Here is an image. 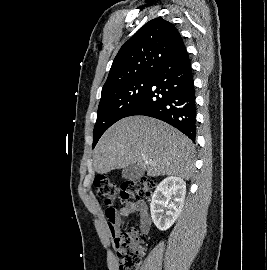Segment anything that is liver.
<instances>
[{
  "label": "liver",
  "instance_id": "liver-1",
  "mask_svg": "<svg viewBox=\"0 0 267 270\" xmlns=\"http://www.w3.org/2000/svg\"><path fill=\"white\" fill-rule=\"evenodd\" d=\"M194 152L192 141L172 126L147 116H131L116 122L100 138L93 154L94 170L106 174L137 164L150 177L189 180Z\"/></svg>",
  "mask_w": 267,
  "mask_h": 270
}]
</instances>
